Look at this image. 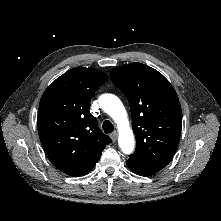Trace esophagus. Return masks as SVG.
<instances>
[{"label": "esophagus", "instance_id": "34e87169", "mask_svg": "<svg viewBox=\"0 0 221 221\" xmlns=\"http://www.w3.org/2000/svg\"><path fill=\"white\" fill-rule=\"evenodd\" d=\"M111 139L115 142L118 138V133L115 131L110 135Z\"/></svg>", "mask_w": 221, "mask_h": 221}]
</instances>
